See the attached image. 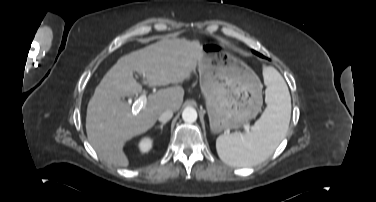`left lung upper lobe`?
Here are the masks:
<instances>
[{
	"instance_id": "5c2ea615",
	"label": "left lung upper lobe",
	"mask_w": 376,
	"mask_h": 202,
	"mask_svg": "<svg viewBox=\"0 0 376 202\" xmlns=\"http://www.w3.org/2000/svg\"><path fill=\"white\" fill-rule=\"evenodd\" d=\"M255 54H257L258 56H262L261 54H259V53H257V52H255V51H253Z\"/></svg>"
}]
</instances>
